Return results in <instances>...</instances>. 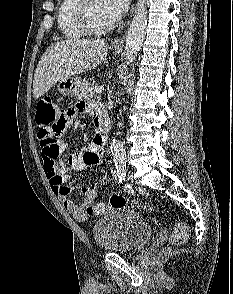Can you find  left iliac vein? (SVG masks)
Listing matches in <instances>:
<instances>
[{"mask_svg":"<svg viewBox=\"0 0 233 294\" xmlns=\"http://www.w3.org/2000/svg\"><path fill=\"white\" fill-rule=\"evenodd\" d=\"M128 180H131V175L128 176ZM130 185H133L132 181L130 182ZM136 190L137 191H142V188L141 187H136Z\"/></svg>","mask_w":233,"mask_h":294,"instance_id":"1","label":"left iliac vein"}]
</instances>
